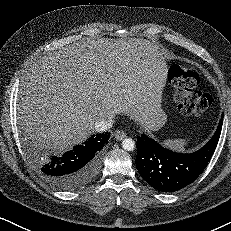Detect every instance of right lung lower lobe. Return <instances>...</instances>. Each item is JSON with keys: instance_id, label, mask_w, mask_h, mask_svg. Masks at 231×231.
Wrapping results in <instances>:
<instances>
[{"instance_id": "98d812e1", "label": "right lung lower lobe", "mask_w": 231, "mask_h": 231, "mask_svg": "<svg viewBox=\"0 0 231 231\" xmlns=\"http://www.w3.org/2000/svg\"><path fill=\"white\" fill-rule=\"evenodd\" d=\"M108 134L92 135L83 144L63 154L36 157L34 164L40 176L52 186L64 190H76L89 183L98 173L103 147Z\"/></svg>"}]
</instances>
